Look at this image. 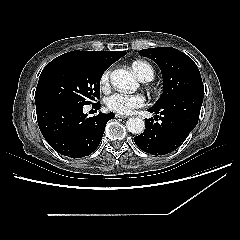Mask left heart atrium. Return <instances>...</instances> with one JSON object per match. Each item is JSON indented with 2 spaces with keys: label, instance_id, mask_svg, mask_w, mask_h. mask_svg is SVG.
<instances>
[{
  "label": "left heart atrium",
  "instance_id": "obj_1",
  "mask_svg": "<svg viewBox=\"0 0 240 240\" xmlns=\"http://www.w3.org/2000/svg\"><path fill=\"white\" fill-rule=\"evenodd\" d=\"M145 97L142 94L115 92L106 99L107 107L119 114H129L133 109L143 106Z\"/></svg>",
  "mask_w": 240,
  "mask_h": 240
}]
</instances>
